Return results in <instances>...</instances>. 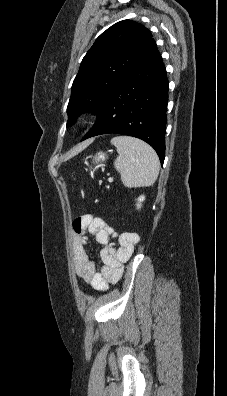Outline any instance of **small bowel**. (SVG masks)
Segmentation results:
<instances>
[{
    "mask_svg": "<svg viewBox=\"0 0 227 396\" xmlns=\"http://www.w3.org/2000/svg\"><path fill=\"white\" fill-rule=\"evenodd\" d=\"M73 260L75 270L96 290L104 291L109 283L117 282L123 274V266L132 256L140 238L137 233H119L104 219L86 214L73 222ZM93 235L103 246L100 250L101 266L89 258L86 251L87 236ZM116 238L117 243L111 242Z\"/></svg>",
    "mask_w": 227,
    "mask_h": 396,
    "instance_id": "1",
    "label": "small bowel"
}]
</instances>
